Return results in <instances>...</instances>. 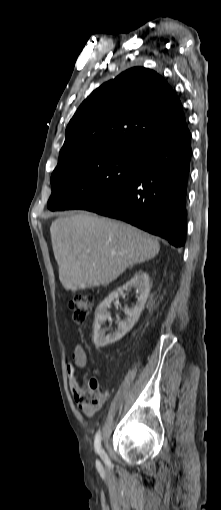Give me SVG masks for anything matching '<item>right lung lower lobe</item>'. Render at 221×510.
Masks as SVG:
<instances>
[{"instance_id":"right-lung-lower-lobe-1","label":"right lung lower lobe","mask_w":221,"mask_h":510,"mask_svg":"<svg viewBox=\"0 0 221 510\" xmlns=\"http://www.w3.org/2000/svg\"><path fill=\"white\" fill-rule=\"evenodd\" d=\"M191 154L190 131L155 143L122 189L83 209L128 222L175 247L183 246Z\"/></svg>"}]
</instances>
